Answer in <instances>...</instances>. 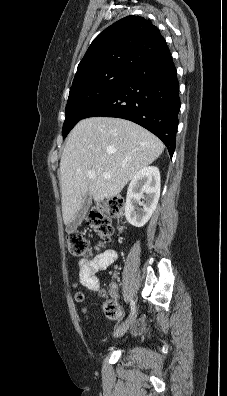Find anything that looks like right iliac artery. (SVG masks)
Instances as JSON below:
<instances>
[{
  "label": "right iliac artery",
  "instance_id": "obj_1",
  "mask_svg": "<svg viewBox=\"0 0 227 396\" xmlns=\"http://www.w3.org/2000/svg\"><path fill=\"white\" fill-rule=\"evenodd\" d=\"M130 307H131V313H130V317H131V315L134 314L135 309H136V305H135V301L134 300L130 301Z\"/></svg>",
  "mask_w": 227,
  "mask_h": 396
}]
</instances>
